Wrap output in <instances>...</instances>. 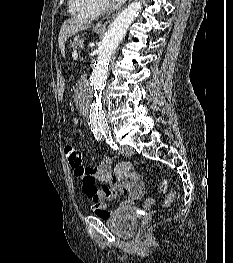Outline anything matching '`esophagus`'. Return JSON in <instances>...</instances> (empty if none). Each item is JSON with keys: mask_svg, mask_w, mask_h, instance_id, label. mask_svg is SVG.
Instances as JSON below:
<instances>
[{"mask_svg": "<svg viewBox=\"0 0 233 263\" xmlns=\"http://www.w3.org/2000/svg\"><path fill=\"white\" fill-rule=\"evenodd\" d=\"M131 0H129L130 2ZM120 10H118L117 12L113 13L110 16H107L106 18H103L101 21H99L96 25L97 28H105L106 25L108 23H110L118 14H119Z\"/></svg>", "mask_w": 233, "mask_h": 263, "instance_id": "esophagus-1", "label": "esophagus"}]
</instances>
